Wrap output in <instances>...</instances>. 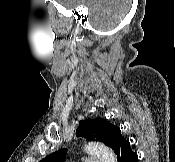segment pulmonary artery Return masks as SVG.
<instances>
[{"label": "pulmonary artery", "mask_w": 175, "mask_h": 162, "mask_svg": "<svg viewBox=\"0 0 175 162\" xmlns=\"http://www.w3.org/2000/svg\"><path fill=\"white\" fill-rule=\"evenodd\" d=\"M84 162H101V161L98 160L97 158H88Z\"/></svg>", "instance_id": "pulmonary-artery-1"}]
</instances>
